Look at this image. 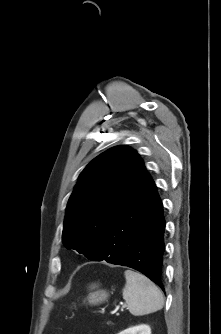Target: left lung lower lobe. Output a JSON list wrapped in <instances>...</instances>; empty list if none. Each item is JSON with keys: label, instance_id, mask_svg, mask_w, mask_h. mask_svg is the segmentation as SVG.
Masks as SVG:
<instances>
[{"label": "left lung lower lobe", "instance_id": "0a47b994", "mask_svg": "<svg viewBox=\"0 0 221 334\" xmlns=\"http://www.w3.org/2000/svg\"><path fill=\"white\" fill-rule=\"evenodd\" d=\"M165 219L149 173L143 177L104 233L93 261L134 268L163 291Z\"/></svg>", "mask_w": 221, "mask_h": 334}]
</instances>
